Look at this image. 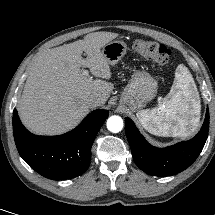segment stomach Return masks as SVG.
<instances>
[{
    "instance_id": "obj_1",
    "label": "stomach",
    "mask_w": 215,
    "mask_h": 215,
    "mask_svg": "<svg viewBox=\"0 0 215 215\" xmlns=\"http://www.w3.org/2000/svg\"><path fill=\"white\" fill-rule=\"evenodd\" d=\"M127 52L124 41L115 40L107 43L102 53L110 65L117 64ZM157 93V81L145 70L134 71L129 83L124 88L120 105L136 112L151 101Z\"/></svg>"
}]
</instances>
